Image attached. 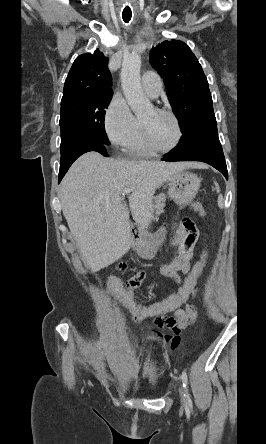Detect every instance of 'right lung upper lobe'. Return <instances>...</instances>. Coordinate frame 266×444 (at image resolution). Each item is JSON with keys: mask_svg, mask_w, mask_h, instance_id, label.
Masks as SVG:
<instances>
[{"mask_svg": "<svg viewBox=\"0 0 266 444\" xmlns=\"http://www.w3.org/2000/svg\"><path fill=\"white\" fill-rule=\"evenodd\" d=\"M108 58L100 51L82 54L74 61L65 80L61 102L104 92H112Z\"/></svg>", "mask_w": 266, "mask_h": 444, "instance_id": "1", "label": "right lung upper lobe"}]
</instances>
